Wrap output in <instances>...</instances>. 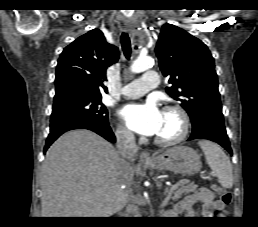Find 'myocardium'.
<instances>
[{"label": "myocardium", "instance_id": "f54148a6", "mask_svg": "<svg viewBox=\"0 0 258 227\" xmlns=\"http://www.w3.org/2000/svg\"><path fill=\"white\" fill-rule=\"evenodd\" d=\"M163 112L175 114L180 121V131L175 137L170 139H165V138L155 136L154 138V141L156 144L164 147H169L182 142L187 137L190 129V120L186 111L179 106H172V105L165 106L163 109Z\"/></svg>", "mask_w": 258, "mask_h": 227}]
</instances>
